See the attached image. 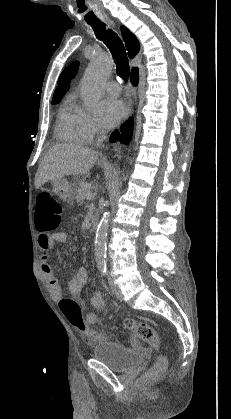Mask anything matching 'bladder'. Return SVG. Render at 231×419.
Instances as JSON below:
<instances>
[{
    "label": "bladder",
    "mask_w": 231,
    "mask_h": 419,
    "mask_svg": "<svg viewBox=\"0 0 231 419\" xmlns=\"http://www.w3.org/2000/svg\"><path fill=\"white\" fill-rule=\"evenodd\" d=\"M93 359L105 363L111 370L129 373L140 367L146 360L141 353L118 343L102 340L92 349Z\"/></svg>",
    "instance_id": "1"
}]
</instances>
